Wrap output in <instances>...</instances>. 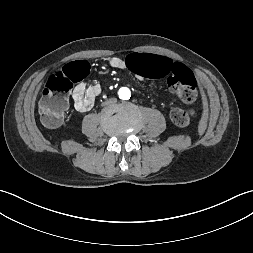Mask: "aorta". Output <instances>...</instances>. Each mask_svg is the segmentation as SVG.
I'll list each match as a JSON object with an SVG mask.
<instances>
[{
  "label": "aorta",
  "instance_id": "1",
  "mask_svg": "<svg viewBox=\"0 0 253 253\" xmlns=\"http://www.w3.org/2000/svg\"><path fill=\"white\" fill-rule=\"evenodd\" d=\"M119 96H120L121 99H124V100L129 99L130 98V90L128 88H125V87L121 88L119 90Z\"/></svg>",
  "mask_w": 253,
  "mask_h": 253
}]
</instances>
